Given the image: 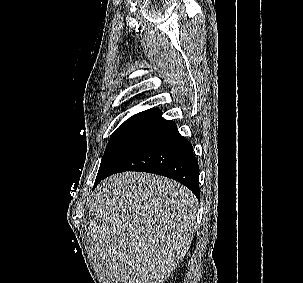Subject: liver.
Here are the masks:
<instances>
[{
	"mask_svg": "<svg viewBox=\"0 0 303 283\" xmlns=\"http://www.w3.org/2000/svg\"><path fill=\"white\" fill-rule=\"evenodd\" d=\"M197 199L178 182L125 172L99 186L89 233L108 276L122 283H163L189 251Z\"/></svg>",
	"mask_w": 303,
	"mask_h": 283,
	"instance_id": "6515ba94",
	"label": "liver"
}]
</instances>
